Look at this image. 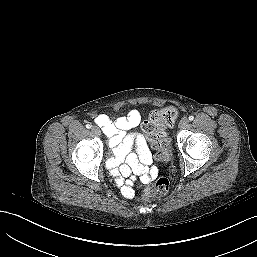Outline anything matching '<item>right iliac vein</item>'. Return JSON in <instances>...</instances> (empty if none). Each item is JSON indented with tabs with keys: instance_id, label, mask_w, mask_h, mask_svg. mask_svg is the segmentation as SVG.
I'll use <instances>...</instances> for the list:
<instances>
[{
	"instance_id": "obj_1",
	"label": "right iliac vein",
	"mask_w": 257,
	"mask_h": 257,
	"mask_svg": "<svg viewBox=\"0 0 257 257\" xmlns=\"http://www.w3.org/2000/svg\"><path fill=\"white\" fill-rule=\"evenodd\" d=\"M91 131H92L93 134H95V135H97V136H100V135H101L100 129H99L98 127H96V126H93V127L91 128Z\"/></svg>"
}]
</instances>
